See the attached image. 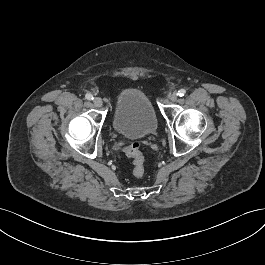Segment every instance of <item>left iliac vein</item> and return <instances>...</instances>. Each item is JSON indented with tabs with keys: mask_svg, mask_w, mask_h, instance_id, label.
<instances>
[{
	"mask_svg": "<svg viewBox=\"0 0 265 265\" xmlns=\"http://www.w3.org/2000/svg\"><path fill=\"white\" fill-rule=\"evenodd\" d=\"M168 98L171 100V101H176L177 98H178V94L176 91L174 92H171L169 95H168Z\"/></svg>",
	"mask_w": 265,
	"mask_h": 265,
	"instance_id": "obj_1",
	"label": "left iliac vein"
}]
</instances>
